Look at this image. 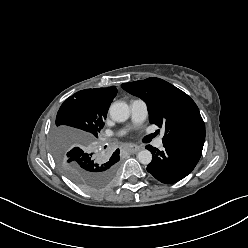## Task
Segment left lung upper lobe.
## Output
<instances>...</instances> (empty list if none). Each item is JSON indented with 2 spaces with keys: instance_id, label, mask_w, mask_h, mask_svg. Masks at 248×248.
I'll return each mask as SVG.
<instances>
[{
  "instance_id": "left-lung-upper-lobe-1",
  "label": "left lung upper lobe",
  "mask_w": 248,
  "mask_h": 248,
  "mask_svg": "<svg viewBox=\"0 0 248 248\" xmlns=\"http://www.w3.org/2000/svg\"><path fill=\"white\" fill-rule=\"evenodd\" d=\"M121 87L146 102L151 124L165 129L163 143L185 133L205 130L195 102L183 91L160 78H147Z\"/></svg>"
}]
</instances>
